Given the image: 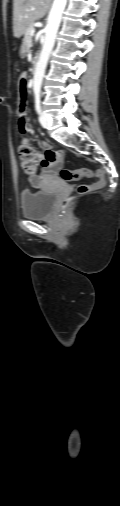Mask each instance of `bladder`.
Returning <instances> with one entry per match:
<instances>
[{"label":"bladder","instance_id":"obj_1","mask_svg":"<svg viewBox=\"0 0 120 506\" xmlns=\"http://www.w3.org/2000/svg\"><path fill=\"white\" fill-rule=\"evenodd\" d=\"M56 200L52 191H24L20 195L22 215L30 219L46 218L50 215Z\"/></svg>","mask_w":120,"mask_h":506}]
</instances>
